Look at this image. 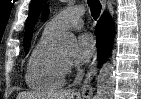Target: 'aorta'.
I'll list each match as a JSON object with an SVG mask.
<instances>
[{
	"instance_id": "obj_1",
	"label": "aorta",
	"mask_w": 141,
	"mask_h": 99,
	"mask_svg": "<svg viewBox=\"0 0 141 99\" xmlns=\"http://www.w3.org/2000/svg\"><path fill=\"white\" fill-rule=\"evenodd\" d=\"M77 42L73 35H63L58 42L60 51L70 52L76 49ZM115 85L114 65L105 63L97 76L96 99H112Z\"/></svg>"
}]
</instances>
